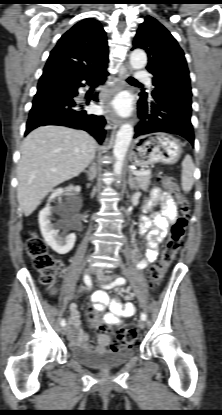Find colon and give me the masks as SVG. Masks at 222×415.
<instances>
[{"label": "colon", "instance_id": "colon-1", "mask_svg": "<svg viewBox=\"0 0 222 415\" xmlns=\"http://www.w3.org/2000/svg\"><path fill=\"white\" fill-rule=\"evenodd\" d=\"M162 183L176 198L179 214L169 229L168 238L161 256L148 274V284L153 289L160 285L165 273L175 259L185 234L189 214L188 200L181 192L177 183L167 176L162 178ZM26 250L33 259L34 267L41 273L42 282L53 289L57 274V262L54 256L47 252L45 243L40 238L31 236L27 240ZM89 317L99 332L105 333L109 331V325L101 318V311L96 306L90 308ZM139 340L140 336L136 330H123L116 335L110 347L111 349H118Z\"/></svg>", "mask_w": 222, "mask_h": 415}]
</instances>
